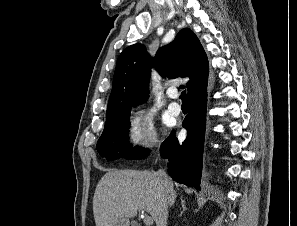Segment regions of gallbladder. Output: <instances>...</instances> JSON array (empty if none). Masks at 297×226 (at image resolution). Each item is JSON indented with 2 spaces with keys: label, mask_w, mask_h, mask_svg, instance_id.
I'll return each mask as SVG.
<instances>
[{
  "label": "gallbladder",
  "mask_w": 297,
  "mask_h": 226,
  "mask_svg": "<svg viewBox=\"0 0 297 226\" xmlns=\"http://www.w3.org/2000/svg\"><path fill=\"white\" fill-rule=\"evenodd\" d=\"M126 225H127V220L123 218L119 219L115 224V226H126Z\"/></svg>",
  "instance_id": "gallbladder-1"
}]
</instances>
